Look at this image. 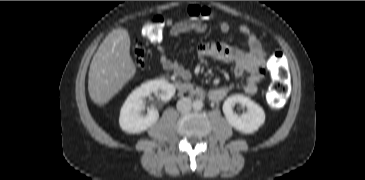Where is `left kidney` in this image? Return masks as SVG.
<instances>
[{"label":"left kidney","instance_id":"obj_1","mask_svg":"<svg viewBox=\"0 0 365 180\" xmlns=\"http://www.w3.org/2000/svg\"><path fill=\"white\" fill-rule=\"evenodd\" d=\"M236 104L246 107L247 111L236 114L233 108ZM223 112L228 123L240 132L250 134L259 129L265 122V113L262 107L243 95L228 97L223 104Z\"/></svg>","mask_w":365,"mask_h":180}]
</instances>
